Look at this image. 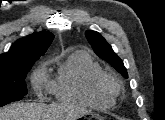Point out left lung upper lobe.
<instances>
[{
    "mask_svg": "<svg viewBox=\"0 0 165 120\" xmlns=\"http://www.w3.org/2000/svg\"><path fill=\"white\" fill-rule=\"evenodd\" d=\"M85 36L91 44L94 52L106 60L113 68L121 73L125 78H128L126 68L123 61L116 55L112 47L106 42V40L96 31L87 30Z\"/></svg>",
    "mask_w": 165,
    "mask_h": 120,
    "instance_id": "obj_1",
    "label": "left lung upper lobe"
}]
</instances>
